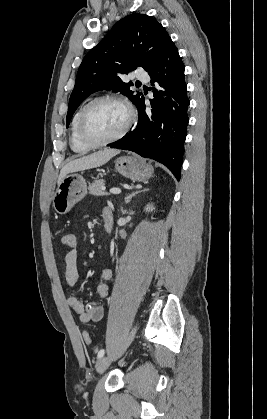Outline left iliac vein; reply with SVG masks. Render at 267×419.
<instances>
[{"label": "left iliac vein", "mask_w": 267, "mask_h": 419, "mask_svg": "<svg viewBox=\"0 0 267 419\" xmlns=\"http://www.w3.org/2000/svg\"><path fill=\"white\" fill-rule=\"evenodd\" d=\"M110 363H111V358L110 357H101L98 360L97 365H96L97 373H99V374L103 373L108 368Z\"/></svg>", "instance_id": "left-iliac-vein-1"}]
</instances>
